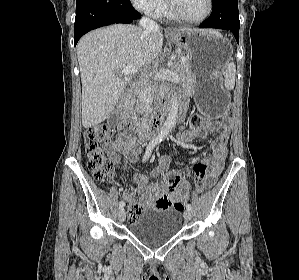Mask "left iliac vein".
Returning <instances> with one entry per match:
<instances>
[{
	"mask_svg": "<svg viewBox=\"0 0 299 280\" xmlns=\"http://www.w3.org/2000/svg\"><path fill=\"white\" fill-rule=\"evenodd\" d=\"M191 216H192V214H191V210H185V212H184V219L186 220V221H189L190 219H191Z\"/></svg>",
	"mask_w": 299,
	"mask_h": 280,
	"instance_id": "4c4485c4",
	"label": "left iliac vein"
}]
</instances>
